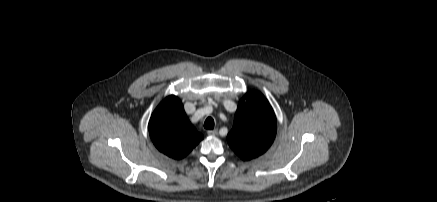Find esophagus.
<instances>
[{
    "instance_id": "obj_1",
    "label": "esophagus",
    "mask_w": 437,
    "mask_h": 202,
    "mask_svg": "<svg viewBox=\"0 0 437 202\" xmlns=\"http://www.w3.org/2000/svg\"><path fill=\"white\" fill-rule=\"evenodd\" d=\"M207 134H208L209 136H216V135L218 134V130H217V129H214V130H208V131H207Z\"/></svg>"
}]
</instances>
